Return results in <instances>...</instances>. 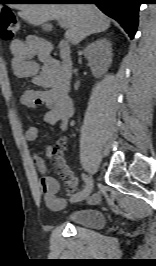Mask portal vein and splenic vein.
<instances>
[{
  "instance_id": "obj_1",
  "label": "portal vein and splenic vein",
  "mask_w": 156,
  "mask_h": 266,
  "mask_svg": "<svg viewBox=\"0 0 156 266\" xmlns=\"http://www.w3.org/2000/svg\"><path fill=\"white\" fill-rule=\"evenodd\" d=\"M58 22H59V24L61 25V27H63V28H66V27H67V24H66L65 21H63V20H58Z\"/></svg>"
}]
</instances>
